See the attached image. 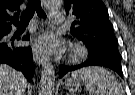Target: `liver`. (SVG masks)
<instances>
[{
	"label": "liver",
	"mask_w": 135,
	"mask_h": 95,
	"mask_svg": "<svg viewBox=\"0 0 135 95\" xmlns=\"http://www.w3.org/2000/svg\"><path fill=\"white\" fill-rule=\"evenodd\" d=\"M27 80L21 72L0 64V95H24Z\"/></svg>",
	"instance_id": "6515ba94"
}]
</instances>
